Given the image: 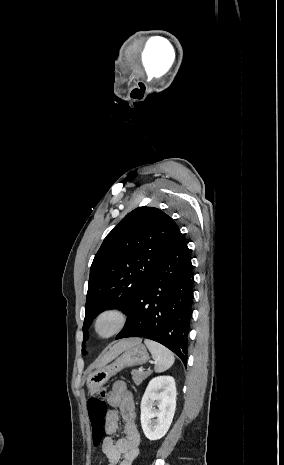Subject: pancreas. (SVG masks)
I'll list each match as a JSON object with an SVG mask.
<instances>
[{"label": "pancreas", "mask_w": 284, "mask_h": 465, "mask_svg": "<svg viewBox=\"0 0 284 465\" xmlns=\"http://www.w3.org/2000/svg\"><path fill=\"white\" fill-rule=\"evenodd\" d=\"M152 371H146V373H139V371H132V379L135 385H140L144 379H147L151 375Z\"/></svg>", "instance_id": "cf45deb5"}]
</instances>
